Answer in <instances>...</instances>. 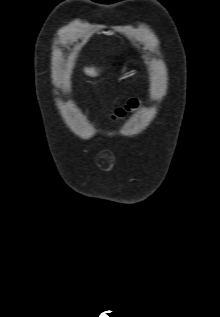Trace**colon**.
Segmentation results:
<instances>
[{
    "label": "colon",
    "instance_id": "colon-1",
    "mask_svg": "<svg viewBox=\"0 0 220 317\" xmlns=\"http://www.w3.org/2000/svg\"><path fill=\"white\" fill-rule=\"evenodd\" d=\"M139 105V101L135 98L129 100L124 106L118 107L114 110L112 118L114 120H121L125 118L131 111L135 110Z\"/></svg>",
    "mask_w": 220,
    "mask_h": 317
}]
</instances>
